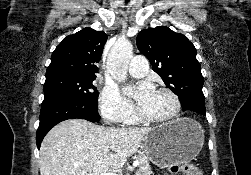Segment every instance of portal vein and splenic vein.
Instances as JSON below:
<instances>
[{"instance_id":"18ae733b","label":"portal vein and splenic vein","mask_w":251,"mask_h":175,"mask_svg":"<svg viewBox=\"0 0 251 175\" xmlns=\"http://www.w3.org/2000/svg\"><path fill=\"white\" fill-rule=\"evenodd\" d=\"M139 161L138 159H136V161H134L133 165H138ZM87 175H119V173H114V171H111V169H109V171H107V173H87Z\"/></svg>"}]
</instances>
